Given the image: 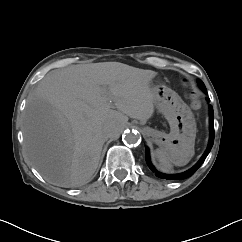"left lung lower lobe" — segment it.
<instances>
[{"label":"left lung lower lobe","instance_id":"0a47b994","mask_svg":"<svg viewBox=\"0 0 242 242\" xmlns=\"http://www.w3.org/2000/svg\"><path fill=\"white\" fill-rule=\"evenodd\" d=\"M207 101L209 102L210 100L207 99ZM210 109V113H209V122H210V138H209V143H208V147L206 149V151L204 152V154L202 155V157L200 158V160L189 170L183 172V173H179V174H162L161 172H159L158 170H156V168L152 165L151 160H150V155H149V149L146 147V163L149 166V168L151 169L152 172L155 173V175L158 178H165L167 180H183L185 178L190 177L204 162V160L206 159L207 155L209 154L213 143H214V112H213V107L210 105L209 106Z\"/></svg>","mask_w":242,"mask_h":242}]
</instances>
